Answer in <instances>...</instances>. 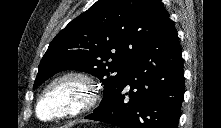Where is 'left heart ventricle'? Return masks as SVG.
Instances as JSON below:
<instances>
[{
  "label": "left heart ventricle",
  "mask_w": 221,
  "mask_h": 128,
  "mask_svg": "<svg viewBox=\"0 0 221 128\" xmlns=\"http://www.w3.org/2000/svg\"><path fill=\"white\" fill-rule=\"evenodd\" d=\"M74 90L72 86L70 85H63L61 86L57 92H55L50 99L49 102H47L42 107V115L48 116L51 114L54 110L64 107L67 104H69L73 98H74Z\"/></svg>",
  "instance_id": "1"
}]
</instances>
